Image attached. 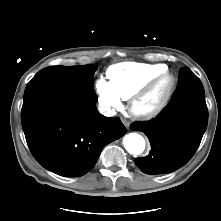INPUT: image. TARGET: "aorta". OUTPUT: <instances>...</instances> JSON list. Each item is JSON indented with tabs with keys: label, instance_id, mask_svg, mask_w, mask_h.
<instances>
[{
	"label": "aorta",
	"instance_id": "aorta-1",
	"mask_svg": "<svg viewBox=\"0 0 221 221\" xmlns=\"http://www.w3.org/2000/svg\"><path fill=\"white\" fill-rule=\"evenodd\" d=\"M125 149L133 155L141 154L145 149L144 138L137 133H129L123 139Z\"/></svg>",
	"mask_w": 221,
	"mask_h": 221
}]
</instances>
